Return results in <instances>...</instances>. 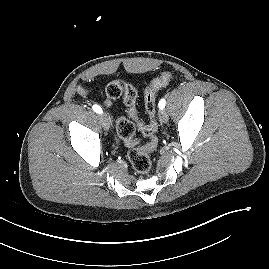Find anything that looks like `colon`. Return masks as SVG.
<instances>
[{
    "mask_svg": "<svg viewBox=\"0 0 269 269\" xmlns=\"http://www.w3.org/2000/svg\"><path fill=\"white\" fill-rule=\"evenodd\" d=\"M172 78L173 75L171 72H163L146 87L144 91V105L150 117L147 124L142 123L138 119L136 108L138 92L132 84L113 81L109 83L105 89V102L107 105H110L114 100L123 96L128 119L119 118L116 123V130L118 136L131 148L128 153V159L132 167L138 173L148 174L152 171L153 161L151 152L157 144L154 134L158 130L156 120V94L158 90L167 85ZM136 128H138L144 136L150 137V140L142 146H138V141L135 139Z\"/></svg>",
    "mask_w": 269,
    "mask_h": 269,
    "instance_id": "5ec220e1",
    "label": "colon"
}]
</instances>
